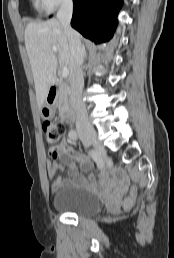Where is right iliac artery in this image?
<instances>
[{"instance_id": "right-iliac-artery-1", "label": "right iliac artery", "mask_w": 174, "mask_h": 258, "mask_svg": "<svg viewBox=\"0 0 174 258\" xmlns=\"http://www.w3.org/2000/svg\"><path fill=\"white\" fill-rule=\"evenodd\" d=\"M69 137L72 139V140H77L78 138V135H77V132L75 130H71L69 132ZM89 154L91 155V157L97 162V165L100 169H103L104 168V161L103 159L101 158V156L94 150H90L89 151Z\"/></svg>"}]
</instances>
